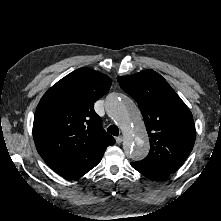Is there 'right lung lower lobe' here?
<instances>
[{"instance_id":"right-lung-lower-lobe-1","label":"right lung lower lobe","mask_w":221,"mask_h":221,"mask_svg":"<svg viewBox=\"0 0 221 221\" xmlns=\"http://www.w3.org/2000/svg\"><path fill=\"white\" fill-rule=\"evenodd\" d=\"M106 148L102 145L88 149L49 166L64 178L76 179L85 175L101 161Z\"/></svg>"}]
</instances>
